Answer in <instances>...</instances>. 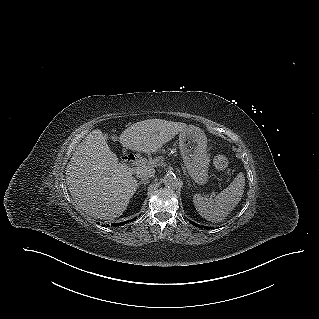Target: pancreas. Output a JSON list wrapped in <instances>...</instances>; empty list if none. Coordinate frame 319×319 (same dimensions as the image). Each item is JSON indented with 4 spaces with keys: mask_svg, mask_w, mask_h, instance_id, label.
<instances>
[{
    "mask_svg": "<svg viewBox=\"0 0 319 319\" xmlns=\"http://www.w3.org/2000/svg\"><path fill=\"white\" fill-rule=\"evenodd\" d=\"M168 150H169V149H168ZM161 152H162L163 154H165V153L167 152V150L162 149Z\"/></svg>",
    "mask_w": 319,
    "mask_h": 319,
    "instance_id": "cf45deb5",
    "label": "pancreas"
}]
</instances>
